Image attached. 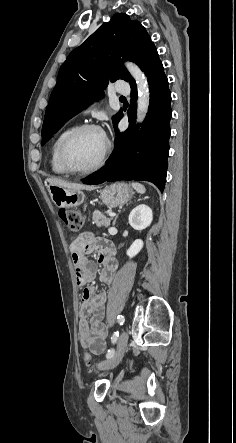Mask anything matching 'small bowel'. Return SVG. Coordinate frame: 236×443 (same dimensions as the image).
<instances>
[{
  "label": "small bowel",
  "instance_id": "small-bowel-1",
  "mask_svg": "<svg viewBox=\"0 0 236 443\" xmlns=\"http://www.w3.org/2000/svg\"><path fill=\"white\" fill-rule=\"evenodd\" d=\"M71 250L79 287L90 284L96 278L95 264L85 256L93 250L97 252V260L102 267L99 272L100 281L105 284L113 282L118 262L114 257L115 249L112 243L84 233L72 240ZM106 301L105 292L96 293L93 286H87L83 290L79 306L80 343L96 355L102 353L106 345L107 328L103 322Z\"/></svg>",
  "mask_w": 236,
  "mask_h": 443
}]
</instances>
